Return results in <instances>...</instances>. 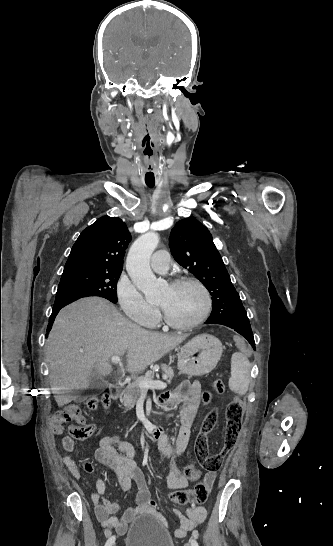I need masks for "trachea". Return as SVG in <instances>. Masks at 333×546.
Wrapping results in <instances>:
<instances>
[{
  "label": "trachea",
  "instance_id": "1",
  "mask_svg": "<svg viewBox=\"0 0 333 546\" xmlns=\"http://www.w3.org/2000/svg\"><path fill=\"white\" fill-rule=\"evenodd\" d=\"M148 174H150L151 176L154 177V173H148ZM146 184H147V186H148L149 188L154 187V184H151V183H146Z\"/></svg>",
  "mask_w": 333,
  "mask_h": 546
}]
</instances>
